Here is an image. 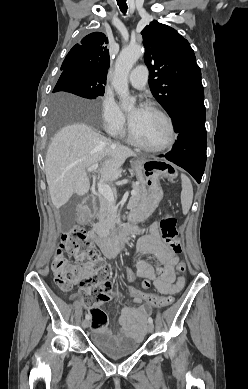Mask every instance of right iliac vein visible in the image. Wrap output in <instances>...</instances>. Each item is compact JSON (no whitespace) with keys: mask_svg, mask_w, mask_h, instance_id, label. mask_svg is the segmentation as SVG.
<instances>
[{"mask_svg":"<svg viewBox=\"0 0 248 389\" xmlns=\"http://www.w3.org/2000/svg\"><path fill=\"white\" fill-rule=\"evenodd\" d=\"M89 324H90V321L88 319H85L83 322H82V326L84 329L88 328L89 327Z\"/></svg>","mask_w":248,"mask_h":389,"instance_id":"1","label":"right iliac vein"}]
</instances>
